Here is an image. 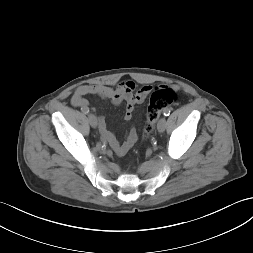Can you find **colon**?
<instances>
[{
    "instance_id": "5ec220e1",
    "label": "colon",
    "mask_w": 253,
    "mask_h": 253,
    "mask_svg": "<svg viewBox=\"0 0 253 253\" xmlns=\"http://www.w3.org/2000/svg\"><path fill=\"white\" fill-rule=\"evenodd\" d=\"M177 99L176 91L167 86L157 87L150 97L147 110V120L143 131V137L147 138L157 121L160 113L175 103Z\"/></svg>"
}]
</instances>
